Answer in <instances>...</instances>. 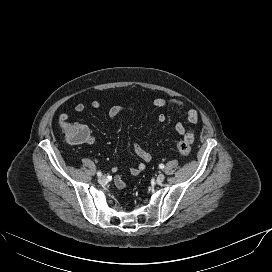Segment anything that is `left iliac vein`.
<instances>
[{
	"mask_svg": "<svg viewBox=\"0 0 272 272\" xmlns=\"http://www.w3.org/2000/svg\"><path fill=\"white\" fill-rule=\"evenodd\" d=\"M164 179H165V175L164 174H159L157 176V182L158 183H162L164 181Z\"/></svg>",
	"mask_w": 272,
	"mask_h": 272,
	"instance_id": "1",
	"label": "left iliac vein"
}]
</instances>
